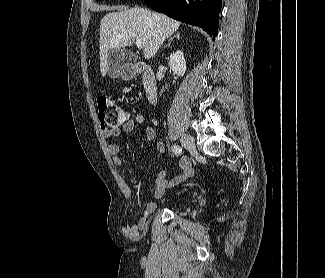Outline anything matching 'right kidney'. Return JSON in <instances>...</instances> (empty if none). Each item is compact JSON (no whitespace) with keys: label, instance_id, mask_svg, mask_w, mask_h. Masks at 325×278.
<instances>
[{"label":"right kidney","instance_id":"right-kidney-1","mask_svg":"<svg viewBox=\"0 0 325 278\" xmlns=\"http://www.w3.org/2000/svg\"><path fill=\"white\" fill-rule=\"evenodd\" d=\"M168 65L178 76H183L186 72V60L183 52L178 50L171 53Z\"/></svg>","mask_w":325,"mask_h":278}]
</instances>
